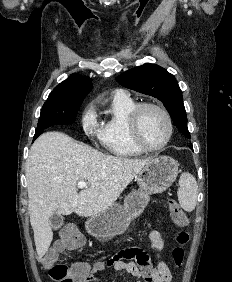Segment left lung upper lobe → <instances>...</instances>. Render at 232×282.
Masks as SVG:
<instances>
[{"label":"left lung upper lobe","mask_w":232,"mask_h":282,"mask_svg":"<svg viewBox=\"0 0 232 282\" xmlns=\"http://www.w3.org/2000/svg\"><path fill=\"white\" fill-rule=\"evenodd\" d=\"M116 81L126 88L160 100L174 124L184 136L190 138L182 91L172 74L156 64L146 63L124 72L116 78Z\"/></svg>","instance_id":"obj_1"}]
</instances>
